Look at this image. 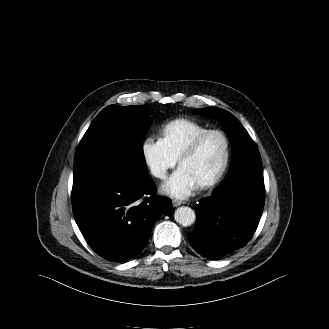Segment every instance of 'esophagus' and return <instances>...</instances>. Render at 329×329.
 <instances>
[{"instance_id": "34e87169", "label": "esophagus", "mask_w": 329, "mask_h": 329, "mask_svg": "<svg viewBox=\"0 0 329 329\" xmlns=\"http://www.w3.org/2000/svg\"><path fill=\"white\" fill-rule=\"evenodd\" d=\"M181 204H184V202L179 201V200H176V199L172 200L173 207H177V206H179Z\"/></svg>"}]
</instances>
